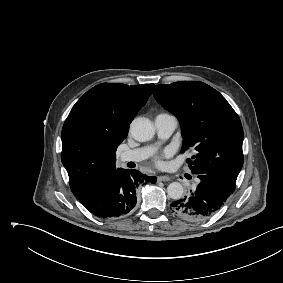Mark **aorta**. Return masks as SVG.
Returning <instances> with one entry per match:
<instances>
[{
	"mask_svg": "<svg viewBox=\"0 0 283 283\" xmlns=\"http://www.w3.org/2000/svg\"><path fill=\"white\" fill-rule=\"evenodd\" d=\"M130 132L133 138L139 142H146L153 138L155 129L152 122L147 118H136L130 125ZM183 186L179 182H172L167 187L170 198L178 200L183 196Z\"/></svg>",
	"mask_w": 283,
	"mask_h": 283,
	"instance_id": "1",
	"label": "aorta"
}]
</instances>
